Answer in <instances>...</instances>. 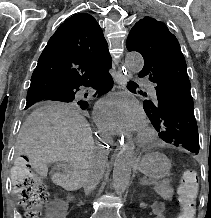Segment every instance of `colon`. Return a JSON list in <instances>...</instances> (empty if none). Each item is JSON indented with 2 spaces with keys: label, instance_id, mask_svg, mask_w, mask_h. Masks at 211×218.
Returning a JSON list of instances; mask_svg holds the SVG:
<instances>
[{
  "label": "colon",
  "instance_id": "5ec220e1",
  "mask_svg": "<svg viewBox=\"0 0 211 218\" xmlns=\"http://www.w3.org/2000/svg\"><path fill=\"white\" fill-rule=\"evenodd\" d=\"M198 182L195 170L188 169L183 172L178 192L181 210L177 218H195ZM12 183L18 203L25 210L27 217L37 218L48 200L49 192L25 155L16 160L12 169Z\"/></svg>",
  "mask_w": 211,
  "mask_h": 218
}]
</instances>
